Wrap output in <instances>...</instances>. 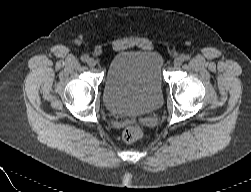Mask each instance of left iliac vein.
<instances>
[{
    "instance_id": "4c4485c4",
    "label": "left iliac vein",
    "mask_w": 251,
    "mask_h": 192,
    "mask_svg": "<svg viewBox=\"0 0 251 192\" xmlns=\"http://www.w3.org/2000/svg\"><path fill=\"white\" fill-rule=\"evenodd\" d=\"M182 62H183L182 58L181 57H177V58H175V60L173 62V65L176 68H178V67H180L182 65Z\"/></svg>"
}]
</instances>
